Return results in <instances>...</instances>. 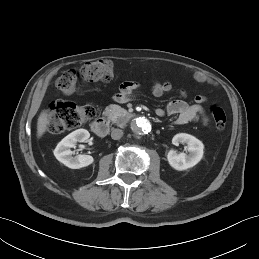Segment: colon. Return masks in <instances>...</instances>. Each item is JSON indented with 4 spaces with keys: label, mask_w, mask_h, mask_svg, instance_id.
Wrapping results in <instances>:
<instances>
[{
    "label": "colon",
    "mask_w": 259,
    "mask_h": 259,
    "mask_svg": "<svg viewBox=\"0 0 259 259\" xmlns=\"http://www.w3.org/2000/svg\"><path fill=\"white\" fill-rule=\"evenodd\" d=\"M113 77V63L108 59H100L66 71L58 78L56 86L61 93L71 95L77 91L81 82H106ZM209 113L215 127L218 130L224 129L227 122L224 109L214 104L210 106ZM96 114L97 109L91 104L79 106L67 101H53L48 110V130L60 134L93 119Z\"/></svg>",
    "instance_id": "obj_1"
}]
</instances>
